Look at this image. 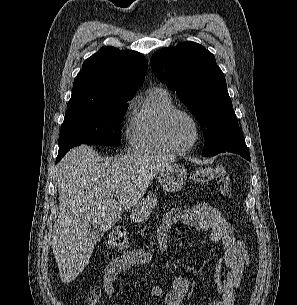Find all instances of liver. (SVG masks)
<instances>
[{
	"label": "liver",
	"mask_w": 297,
	"mask_h": 305,
	"mask_svg": "<svg viewBox=\"0 0 297 305\" xmlns=\"http://www.w3.org/2000/svg\"><path fill=\"white\" fill-rule=\"evenodd\" d=\"M174 159L134 153L99 163L98 154L87 145L70 150L62 158L57 166L60 205L52 249L64 283L82 273L93 253L94 243L86 236L89 226L109 230L123 210L142 200L153 178Z\"/></svg>",
	"instance_id": "liver-1"
}]
</instances>
